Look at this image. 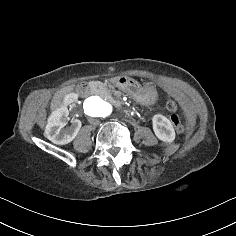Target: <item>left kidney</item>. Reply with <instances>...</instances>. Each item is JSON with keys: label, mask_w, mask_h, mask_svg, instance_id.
I'll return each instance as SVG.
<instances>
[{"label": "left kidney", "mask_w": 236, "mask_h": 236, "mask_svg": "<svg viewBox=\"0 0 236 236\" xmlns=\"http://www.w3.org/2000/svg\"><path fill=\"white\" fill-rule=\"evenodd\" d=\"M152 128L155 136L159 141L171 144L176 138V133L172 122L162 114L152 116Z\"/></svg>", "instance_id": "1"}]
</instances>
